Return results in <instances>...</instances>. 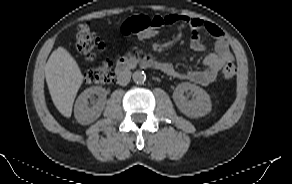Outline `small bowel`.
Masks as SVG:
<instances>
[{
  "instance_id": "small-bowel-1",
  "label": "small bowel",
  "mask_w": 292,
  "mask_h": 184,
  "mask_svg": "<svg viewBox=\"0 0 292 184\" xmlns=\"http://www.w3.org/2000/svg\"><path fill=\"white\" fill-rule=\"evenodd\" d=\"M155 18L160 22L161 27L175 23H184L188 25L192 29L190 48L194 51L205 50V45L202 43L200 37L201 31L207 32L215 39L214 51L208 53L204 57L203 62L205 67L203 69H188L186 72L181 73L178 72L172 65L167 64V74L206 86L216 79L219 70L225 63L233 61V54L230 50L225 34L215 24L199 18L180 16L176 14L155 16Z\"/></svg>"
}]
</instances>
